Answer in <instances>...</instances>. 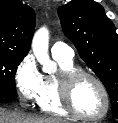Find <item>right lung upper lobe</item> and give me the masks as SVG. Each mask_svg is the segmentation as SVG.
Listing matches in <instances>:
<instances>
[{"label":"right lung upper lobe","mask_w":118,"mask_h":123,"mask_svg":"<svg viewBox=\"0 0 118 123\" xmlns=\"http://www.w3.org/2000/svg\"><path fill=\"white\" fill-rule=\"evenodd\" d=\"M33 8L19 0L0 1V52L26 56L34 34Z\"/></svg>","instance_id":"1"}]
</instances>
